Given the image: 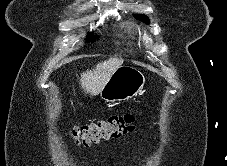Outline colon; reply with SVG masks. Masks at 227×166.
<instances>
[{
    "label": "colon",
    "instance_id": "1",
    "mask_svg": "<svg viewBox=\"0 0 227 166\" xmlns=\"http://www.w3.org/2000/svg\"><path fill=\"white\" fill-rule=\"evenodd\" d=\"M134 122L135 115L132 113L111 115L102 121L73 127L66 134L76 144L90 146L102 140L118 138L132 132Z\"/></svg>",
    "mask_w": 227,
    "mask_h": 166
}]
</instances>
